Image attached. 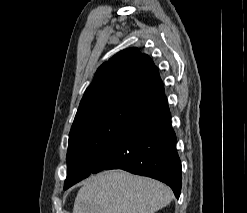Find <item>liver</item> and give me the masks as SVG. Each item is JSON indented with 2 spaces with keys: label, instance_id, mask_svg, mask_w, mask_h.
<instances>
[{
  "label": "liver",
  "instance_id": "obj_1",
  "mask_svg": "<svg viewBox=\"0 0 247 213\" xmlns=\"http://www.w3.org/2000/svg\"><path fill=\"white\" fill-rule=\"evenodd\" d=\"M172 198L170 188L157 180L110 170L86 180L73 213H155Z\"/></svg>",
  "mask_w": 247,
  "mask_h": 213
}]
</instances>
